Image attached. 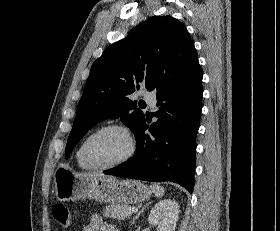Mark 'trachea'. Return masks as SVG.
<instances>
[{"mask_svg":"<svg viewBox=\"0 0 280 231\" xmlns=\"http://www.w3.org/2000/svg\"><path fill=\"white\" fill-rule=\"evenodd\" d=\"M140 106V108H145L146 107V104H141V105H139Z\"/></svg>","mask_w":280,"mask_h":231,"instance_id":"trachea-1","label":"trachea"}]
</instances>
